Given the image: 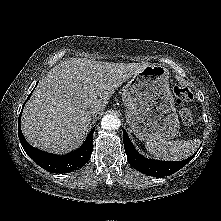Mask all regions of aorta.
I'll list each match as a JSON object with an SVG mask.
<instances>
[{
    "label": "aorta",
    "instance_id": "obj_1",
    "mask_svg": "<svg viewBox=\"0 0 221 221\" xmlns=\"http://www.w3.org/2000/svg\"><path fill=\"white\" fill-rule=\"evenodd\" d=\"M101 126L105 130H116L120 127V120L114 115H105L101 120Z\"/></svg>",
    "mask_w": 221,
    "mask_h": 221
}]
</instances>
